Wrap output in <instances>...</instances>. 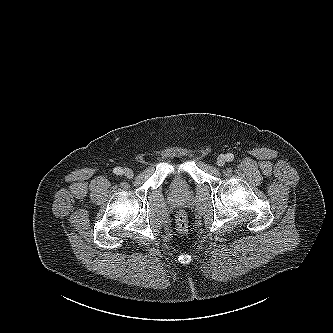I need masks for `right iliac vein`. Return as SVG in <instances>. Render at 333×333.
<instances>
[{
    "label": "right iliac vein",
    "instance_id": "right-iliac-vein-1",
    "mask_svg": "<svg viewBox=\"0 0 333 333\" xmlns=\"http://www.w3.org/2000/svg\"><path fill=\"white\" fill-rule=\"evenodd\" d=\"M123 174H124L127 178H133V176H134L133 171H132L131 169H129V168H125V169L123 170Z\"/></svg>",
    "mask_w": 333,
    "mask_h": 333
}]
</instances>
